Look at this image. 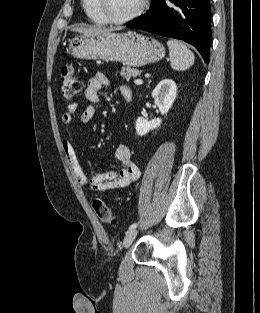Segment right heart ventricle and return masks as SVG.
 Returning a JSON list of instances; mask_svg holds the SVG:
<instances>
[{
	"label": "right heart ventricle",
	"mask_w": 260,
	"mask_h": 313,
	"mask_svg": "<svg viewBox=\"0 0 260 313\" xmlns=\"http://www.w3.org/2000/svg\"><path fill=\"white\" fill-rule=\"evenodd\" d=\"M82 7L88 19L95 25H106L107 22L99 13L96 0H81Z\"/></svg>",
	"instance_id": "1"
}]
</instances>
